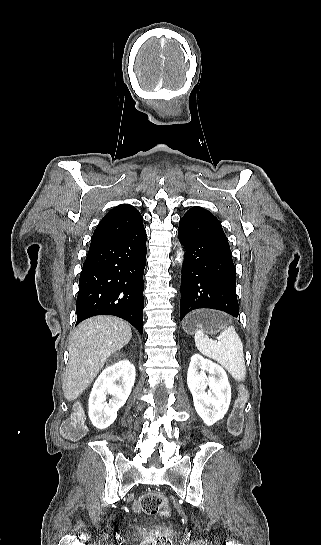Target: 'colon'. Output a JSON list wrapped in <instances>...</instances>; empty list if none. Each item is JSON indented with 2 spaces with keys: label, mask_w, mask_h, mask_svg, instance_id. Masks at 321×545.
Wrapping results in <instances>:
<instances>
[{
  "label": "colon",
  "mask_w": 321,
  "mask_h": 545,
  "mask_svg": "<svg viewBox=\"0 0 321 545\" xmlns=\"http://www.w3.org/2000/svg\"><path fill=\"white\" fill-rule=\"evenodd\" d=\"M247 402V394L242 391L234 402L231 415L228 420V429L232 435L238 436L243 430V410ZM86 433L84 415L77 411L62 425V434L71 441L81 439ZM136 510L147 515L166 517L169 514L166 498L157 492L143 494L136 504ZM142 545H170L165 530L161 527L146 529Z\"/></svg>",
  "instance_id": "obj_1"
}]
</instances>
